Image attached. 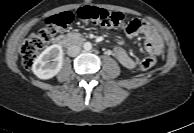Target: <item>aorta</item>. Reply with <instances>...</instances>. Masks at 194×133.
<instances>
[{
    "mask_svg": "<svg viewBox=\"0 0 194 133\" xmlns=\"http://www.w3.org/2000/svg\"><path fill=\"white\" fill-rule=\"evenodd\" d=\"M83 48L85 51H90L92 49V44L90 42H85Z\"/></svg>",
    "mask_w": 194,
    "mask_h": 133,
    "instance_id": "762f6f07",
    "label": "aorta"
}]
</instances>
